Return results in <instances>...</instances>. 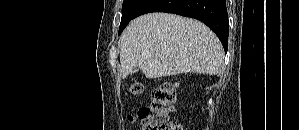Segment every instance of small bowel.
I'll return each instance as SVG.
<instances>
[{"mask_svg": "<svg viewBox=\"0 0 299 130\" xmlns=\"http://www.w3.org/2000/svg\"><path fill=\"white\" fill-rule=\"evenodd\" d=\"M127 121L130 123H136L137 122V117L133 114L127 115Z\"/></svg>", "mask_w": 299, "mask_h": 130, "instance_id": "small-bowel-1", "label": "small bowel"}]
</instances>
